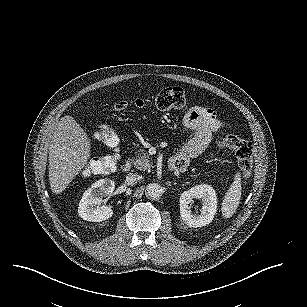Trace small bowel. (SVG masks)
I'll return each instance as SVG.
<instances>
[{
	"label": "small bowel",
	"mask_w": 307,
	"mask_h": 307,
	"mask_svg": "<svg viewBox=\"0 0 307 307\" xmlns=\"http://www.w3.org/2000/svg\"><path fill=\"white\" fill-rule=\"evenodd\" d=\"M184 127L192 133V137L183 143L171 161L184 170L189 160L203 153L211 144L213 135L225 125L216 112L210 108L194 106L184 118Z\"/></svg>",
	"instance_id": "obj_1"
}]
</instances>
